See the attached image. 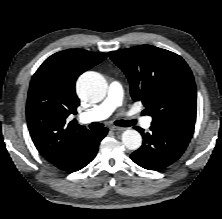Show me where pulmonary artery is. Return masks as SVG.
Returning <instances> with one entry per match:
<instances>
[{"mask_svg": "<svg viewBox=\"0 0 222 219\" xmlns=\"http://www.w3.org/2000/svg\"><path fill=\"white\" fill-rule=\"evenodd\" d=\"M123 102V90L118 81L111 82L107 98L94 109L80 115V120L84 123L92 121H101L108 118L116 108L120 107ZM142 124L145 128H149L151 124L150 118H144Z\"/></svg>", "mask_w": 222, "mask_h": 219, "instance_id": "obj_1", "label": "pulmonary artery"}]
</instances>
